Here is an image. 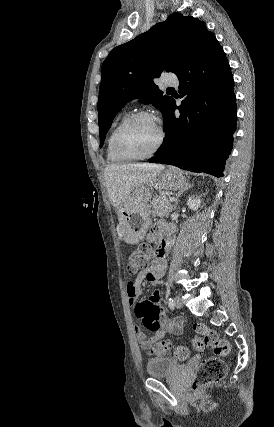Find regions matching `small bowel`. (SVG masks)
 <instances>
[{
	"mask_svg": "<svg viewBox=\"0 0 274 427\" xmlns=\"http://www.w3.org/2000/svg\"><path fill=\"white\" fill-rule=\"evenodd\" d=\"M167 225L161 223L153 228L156 235L161 234V229ZM171 225V224H170ZM169 230L171 233L174 230L173 225ZM167 268L165 259H156L149 268L136 277L131 279L127 284V301L130 305H134L141 293L142 284L149 281H159ZM150 299H140L137 305V311H134L132 317L134 319V331L140 347L143 350H150L153 345L167 334L180 335L183 331L184 320L181 317L174 319L164 316L161 318V313L164 312V305L159 299L160 292L158 289H151L149 292ZM139 327H145L147 332H157L152 337L141 331Z\"/></svg>",
	"mask_w": 274,
	"mask_h": 427,
	"instance_id": "small-bowel-1",
	"label": "small bowel"
}]
</instances>
